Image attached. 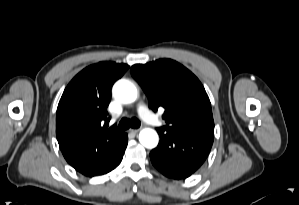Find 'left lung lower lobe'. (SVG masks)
Segmentation results:
<instances>
[{"label":"left lung lower lobe","mask_w":299,"mask_h":205,"mask_svg":"<svg viewBox=\"0 0 299 205\" xmlns=\"http://www.w3.org/2000/svg\"><path fill=\"white\" fill-rule=\"evenodd\" d=\"M160 142L150 152L153 166L163 175L185 179L193 174L207 158L213 137L183 132L158 130Z\"/></svg>","instance_id":"1"}]
</instances>
